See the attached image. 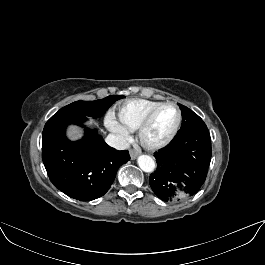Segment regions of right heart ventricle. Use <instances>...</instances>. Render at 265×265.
I'll return each instance as SVG.
<instances>
[{
    "label": "right heart ventricle",
    "instance_id": "right-heart-ventricle-1",
    "mask_svg": "<svg viewBox=\"0 0 265 265\" xmlns=\"http://www.w3.org/2000/svg\"><path fill=\"white\" fill-rule=\"evenodd\" d=\"M159 103L155 100L135 98L118 103L114 111L119 123L127 131H136L147 112Z\"/></svg>",
    "mask_w": 265,
    "mask_h": 265
}]
</instances>
